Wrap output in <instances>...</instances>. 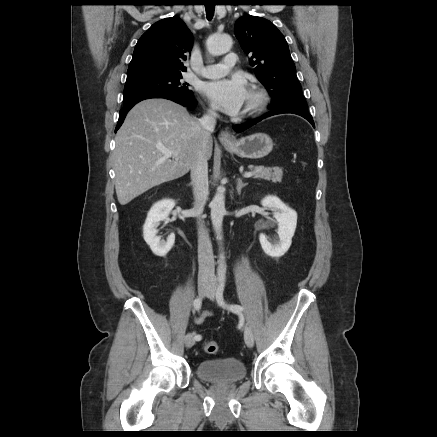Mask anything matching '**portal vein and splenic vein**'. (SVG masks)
Returning a JSON list of instances; mask_svg holds the SVG:
<instances>
[{
	"label": "portal vein and splenic vein",
	"instance_id": "portal-vein-and-splenic-vein-1",
	"mask_svg": "<svg viewBox=\"0 0 437 437\" xmlns=\"http://www.w3.org/2000/svg\"><path fill=\"white\" fill-rule=\"evenodd\" d=\"M160 150L162 151V153H163L166 157H177V154L174 153V152H172V151H170V150H167V149H165V148H160ZM253 174H254V172H246V173H244L243 176H244L245 178H249V177L253 176Z\"/></svg>",
	"mask_w": 437,
	"mask_h": 437
}]
</instances>
